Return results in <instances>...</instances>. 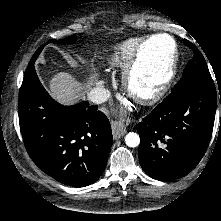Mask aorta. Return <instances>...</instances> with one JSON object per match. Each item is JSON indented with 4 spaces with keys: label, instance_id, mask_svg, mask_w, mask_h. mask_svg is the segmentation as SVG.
Wrapping results in <instances>:
<instances>
[{
    "label": "aorta",
    "instance_id": "aorta-1",
    "mask_svg": "<svg viewBox=\"0 0 221 221\" xmlns=\"http://www.w3.org/2000/svg\"><path fill=\"white\" fill-rule=\"evenodd\" d=\"M125 143L128 147H137L140 144V137L137 133L129 132L125 136Z\"/></svg>",
    "mask_w": 221,
    "mask_h": 221
}]
</instances>
